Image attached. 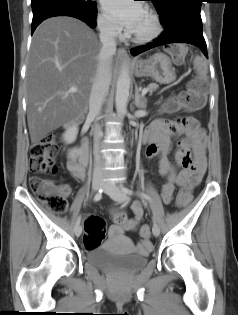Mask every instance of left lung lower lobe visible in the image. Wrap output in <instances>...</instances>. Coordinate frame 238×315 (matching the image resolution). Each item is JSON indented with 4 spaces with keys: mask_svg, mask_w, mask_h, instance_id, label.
Here are the masks:
<instances>
[{
    "mask_svg": "<svg viewBox=\"0 0 238 315\" xmlns=\"http://www.w3.org/2000/svg\"><path fill=\"white\" fill-rule=\"evenodd\" d=\"M200 5H186L178 8L169 16L160 20L165 30L153 42L132 49L131 54L136 56L151 48L170 43H189L199 47L208 57L207 46L202 33Z\"/></svg>",
    "mask_w": 238,
    "mask_h": 315,
    "instance_id": "1",
    "label": "left lung lower lobe"
}]
</instances>
